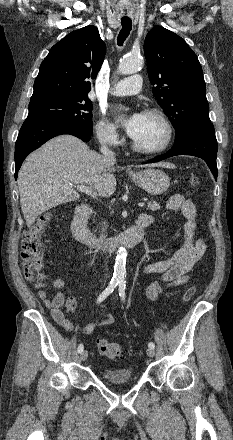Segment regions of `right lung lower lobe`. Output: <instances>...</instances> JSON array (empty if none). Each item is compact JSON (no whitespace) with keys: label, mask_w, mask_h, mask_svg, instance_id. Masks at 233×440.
Listing matches in <instances>:
<instances>
[{"label":"right lung lower lobe","mask_w":233,"mask_h":440,"mask_svg":"<svg viewBox=\"0 0 233 440\" xmlns=\"http://www.w3.org/2000/svg\"><path fill=\"white\" fill-rule=\"evenodd\" d=\"M70 134L88 142L91 135L77 125L51 119L30 118L23 123L15 145V178L26 156L49 139Z\"/></svg>","instance_id":"obj_1"}]
</instances>
